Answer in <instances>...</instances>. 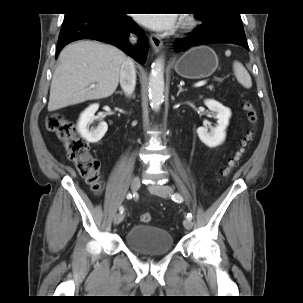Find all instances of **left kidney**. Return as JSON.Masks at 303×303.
<instances>
[{
    "label": "left kidney",
    "mask_w": 303,
    "mask_h": 303,
    "mask_svg": "<svg viewBox=\"0 0 303 303\" xmlns=\"http://www.w3.org/2000/svg\"><path fill=\"white\" fill-rule=\"evenodd\" d=\"M204 103L209 110L216 113L215 118L217 119V125L216 127L210 128V131H208L207 127H199L197 134L206 146L212 148L224 142L226 138V128L231 117V110L213 99H207Z\"/></svg>",
    "instance_id": "1"
}]
</instances>
